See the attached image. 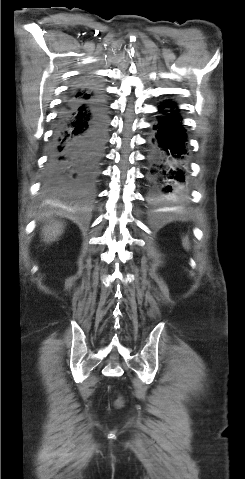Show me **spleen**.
Segmentation results:
<instances>
[{
    "mask_svg": "<svg viewBox=\"0 0 245 479\" xmlns=\"http://www.w3.org/2000/svg\"><path fill=\"white\" fill-rule=\"evenodd\" d=\"M182 244H183V247H184L185 249H187V250L189 249V240H188V238H184Z\"/></svg>",
    "mask_w": 245,
    "mask_h": 479,
    "instance_id": "obj_1",
    "label": "spleen"
}]
</instances>
